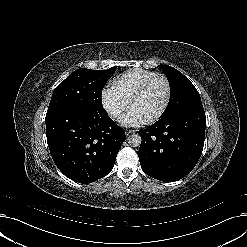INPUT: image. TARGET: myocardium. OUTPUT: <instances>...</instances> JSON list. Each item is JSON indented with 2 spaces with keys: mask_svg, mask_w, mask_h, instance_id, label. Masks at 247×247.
Listing matches in <instances>:
<instances>
[{
  "mask_svg": "<svg viewBox=\"0 0 247 247\" xmlns=\"http://www.w3.org/2000/svg\"><path fill=\"white\" fill-rule=\"evenodd\" d=\"M161 83L164 86V98L163 101L160 105V107L158 108V110L151 116L149 117L150 120H154L156 118H158L166 109L169 99H170V85L169 82L167 81L166 78L164 77H155L153 79H151L150 81H148L141 89L140 91H138L134 101H138L140 96L145 92V90L147 88H149L150 86H152L155 83Z\"/></svg>",
  "mask_w": 247,
  "mask_h": 247,
  "instance_id": "obj_1",
  "label": "myocardium"
}]
</instances>
